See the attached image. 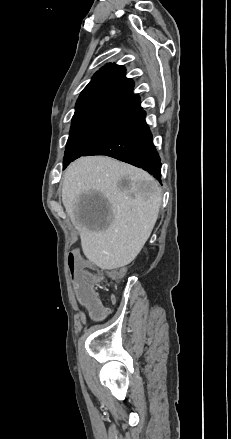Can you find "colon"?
Listing matches in <instances>:
<instances>
[{
    "label": "colon",
    "instance_id": "1",
    "mask_svg": "<svg viewBox=\"0 0 231 439\" xmlns=\"http://www.w3.org/2000/svg\"><path fill=\"white\" fill-rule=\"evenodd\" d=\"M70 257L68 264L74 277L73 287L76 288L79 303L86 310V315H90L93 320H106L108 318L107 308L103 305V299L98 297L95 286L97 278L93 274L90 266V259L81 255V248H72L69 251ZM123 271L117 270L110 274L112 278L122 276Z\"/></svg>",
    "mask_w": 231,
    "mask_h": 439
}]
</instances>
